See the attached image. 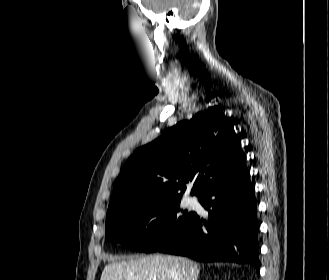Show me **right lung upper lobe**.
Returning <instances> with one entry per match:
<instances>
[{
    "label": "right lung upper lobe",
    "mask_w": 329,
    "mask_h": 280,
    "mask_svg": "<svg viewBox=\"0 0 329 280\" xmlns=\"http://www.w3.org/2000/svg\"><path fill=\"white\" fill-rule=\"evenodd\" d=\"M241 141L223 113L204 111L177 123L140 147L117 178L109 209L148 196H180L195 179L191 194L245 163Z\"/></svg>",
    "instance_id": "1"
}]
</instances>
